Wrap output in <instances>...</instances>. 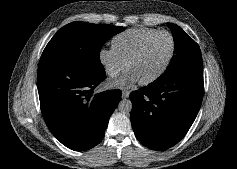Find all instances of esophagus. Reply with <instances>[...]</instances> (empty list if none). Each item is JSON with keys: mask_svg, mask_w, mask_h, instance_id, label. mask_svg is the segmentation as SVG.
<instances>
[{"mask_svg": "<svg viewBox=\"0 0 237 169\" xmlns=\"http://www.w3.org/2000/svg\"><path fill=\"white\" fill-rule=\"evenodd\" d=\"M129 95H130V91H128V90H123V91H122V98H123V99L128 98Z\"/></svg>", "mask_w": 237, "mask_h": 169, "instance_id": "34e87169", "label": "esophagus"}]
</instances>
